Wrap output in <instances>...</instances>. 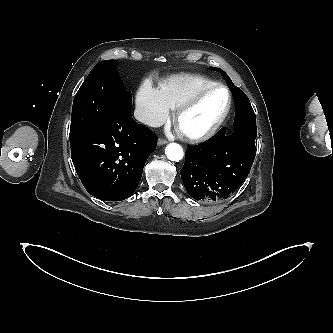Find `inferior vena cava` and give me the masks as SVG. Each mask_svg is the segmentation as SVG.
<instances>
[{
  "mask_svg": "<svg viewBox=\"0 0 333 333\" xmlns=\"http://www.w3.org/2000/svg\"><path fill=\"white\" fill-rule=\"evenodd\" d=\"M134 116L138 121L151 127H159L163 125V121L157 119L153 114L143 108H136Z\"/></svg>",
  "mask_w": 333,
  "mask_h": 333,
  "instance_id": "1",
  "label": "inferior vena cava"
}]
</instances>
